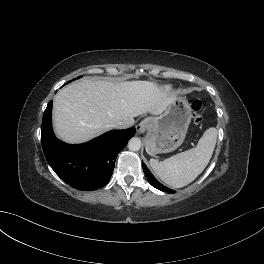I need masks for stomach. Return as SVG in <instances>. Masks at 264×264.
<instances>
[{
  "mask_svg": "<svg viewBox=\"0 0 264 264\" xmlns=\"http://www.w3.org/2000/svg\"><path fill=\"white\" fill-rule=\"evenodd\" d=\"M192 118V109L184 97H176L165 112L151 117L146 139V151L151 154L168 153L184 141Z\"/></svg>",
  "mask_w": 264,
  "mask_h": 264,
  "instance_id": "1",
  "label": "stomach"
}]
</instances>
